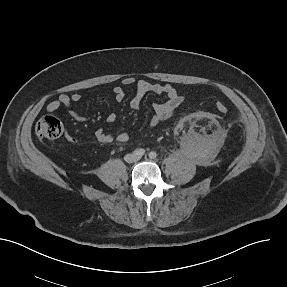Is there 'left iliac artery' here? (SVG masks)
<instances>
[{
    "label": "left iliac artery",
    "mask_w": 287,
    "mask_h": 287,
    "mask_svg": "<svg viewBox=\"0 0 287 287\" xmlns=\"http://www.w3.org/2000/svg\"><path fill=\"white\" fill-rule=\"evenodd\" d=\"M149 157H150L151 159L156 158V157H157L156 152H154V151L150 152V153H149Z\"/></svg>",
    "instance_id": "obj_1"
}]
</instances>
